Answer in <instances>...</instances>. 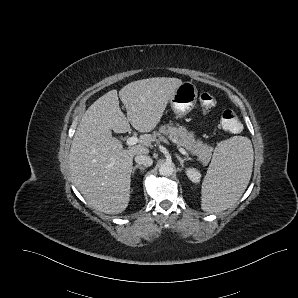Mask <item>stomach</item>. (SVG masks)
I'll list each match as a JSON object with an SVG mask.
<instances>
[{
	"mask_svg": "<svg viewBox=\"0 0 298 298\" xmlns=\"http://www.w3.org/2000/svg\"><path fill=\"white\" fill-rule=\"evenodd\" d=\"M198 89L193 82L185 81L180 85L170 99V107L176 118L181 119L188 115L196 106Z\"/></svg>",
	"mask_w": 298,
	"mask_h": 298,
	"instance_id": "1",
	"label": "stomach"
}]
</instances>
